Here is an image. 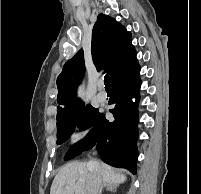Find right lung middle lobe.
I'll return each mask as SVG.
<instances>
[{"mask_svg":"<svg viewBox=\"0 0 201 194\" xmlns=\"http://www.w3.org/2000/svg\"><path fill=\"white\" fill-rule=\"evenodd\" d=\"M98 109L88 105L84 108L82 104L72 114L57 119V144L66 142L69 137L74 133L76 126L80 129H85L94 124L99 117ZM76 150L69 151L65 159H71L77 155Z\"/></svg>","mask_w":201,"mask_h":194,"instance_id":"right-lung-middle-lobe-1","label":"right lung middle lobe"}]
</instances>
